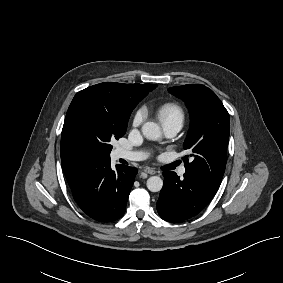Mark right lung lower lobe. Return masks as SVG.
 <instances>
[{"label": "right lung lower lobe", "mask_w": 283, "mask_h": 283, "mask_svg": "<svg viewBox=\"0 0 283 283\" xmlns=\"http://www.w3.org/2000/svg\"><path fill=\"white\" fill-rule=\"evenodd\" d=\"M137 172L126 165H116L112 170L110 158H96L71 187L74 200L94 220H116L125 212Z\"/></svg>", "instance_id": "98d812e1"}]
</instances>
